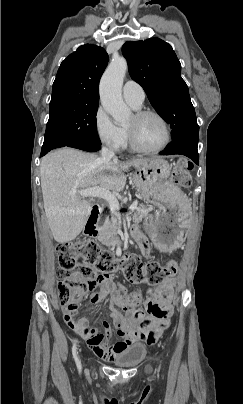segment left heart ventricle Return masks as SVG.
<instances>
[{"label":"left heart ventricle","instance_id":"left-heart-ventricle-1","mask_svg":"<svg viewBox=\"0 0 243 404\" xmlns=\"http://www.w3.org/2000/svg\"><path fill=\"white\" fill-rule=\"evenodd\" d=\"M125 127L130 129L138 142L147 148L158 147L166 140L165 126L155 115L136 118L133 114Z\"/></svg>","mask_w":243,"mask_h":404}]
</instances>
